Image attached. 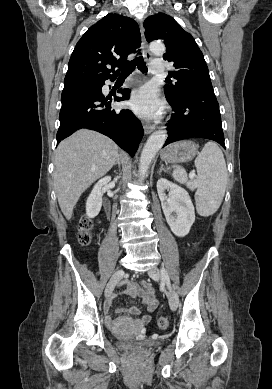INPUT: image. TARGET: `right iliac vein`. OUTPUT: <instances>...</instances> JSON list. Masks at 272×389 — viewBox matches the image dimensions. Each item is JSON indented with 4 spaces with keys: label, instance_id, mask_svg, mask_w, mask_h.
<instances>
[{
    "label": "right iliac vein",
    "instance_id": "right-iliac-vein-1",
    "mask_svg": "<svg viewBox=\"0 0 272 389\" xmlns=\"http://www.w3.org/2000/svg\"><path fill=\"white\" fill-rule=\"evenodd\" d=\"M123 275H124L123 269H119L113 274L105 289L106 298H108L111 295L116 283L121 279Z\"/></svg>",
    "mask_w": 272,
    "mask_h": 389
}]
</instances>
